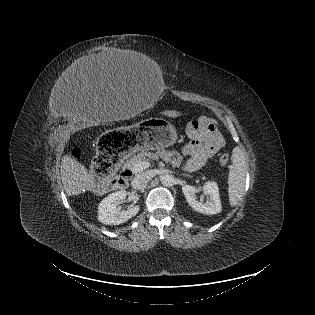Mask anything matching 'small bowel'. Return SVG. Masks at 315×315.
<instances>
[{"label":"small bowel","mask_w":315,"mask_h":315,"mask_svg":"<svg viewBox=\"0 0 315 315\" xmlns=\"http://www.w3.org/2000/svg\"><path fill=\"white\" fill-rule=\"evenodd\" d=\"M186 134L190 141L183 148V153L188 157L185 166L189 170L201 167L224 147L221 133L208 117L203 116L190 122Z\"/></svg>","instance_id":"1"}]
</instances>
